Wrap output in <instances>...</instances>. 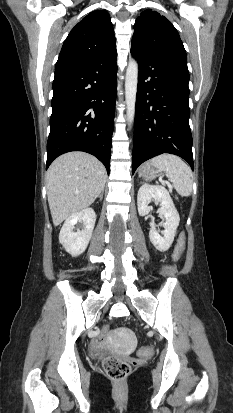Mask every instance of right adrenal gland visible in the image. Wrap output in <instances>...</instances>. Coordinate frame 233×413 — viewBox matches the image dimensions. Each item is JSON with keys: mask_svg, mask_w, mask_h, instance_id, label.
Instances as JSON below:
<instances>
[{"mask_svg": "<svg viewBox=\"0 0 233 413\" xmlns=\"http://www.w3.org/2000/svg\"><path fill=\"white\" fill-rule=\"evenodd\" d=\"M103 193H104V191H102V192L99 194L100 201H101L102 198H103Z\"/></svg>", "mask_w": 233, "mask_h": 413, "instance_id": "2a0ac1e0", "label": "right adrenal gland"}]
</instances>
